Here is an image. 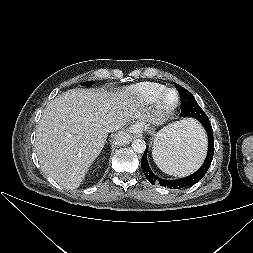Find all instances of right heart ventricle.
Returning <instances> with one entry per match:
<instances>
[{"mask_svg": "<svg viewBox=\"0 0 253 253\" xmlns=\"http://www.w3.org/2000/svg\"><path fill=\"white\" fill-rule=\"evenodd\" d=\"M165 89L166 87L160 83L142 82L127 88L126 93L140 104H151Z\"/></svg>", "mask_w": 253, "mask_h": 253, "instance_id": "1", "label": "right heart ventricle"}]
</instances>
